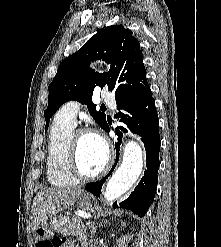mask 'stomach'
I'll return each instance as SVG.
<instances>
[{"instance_id": "obj_1", "label": "stomach", "mask_w": 221, "mask_h": 247, "mask_svg": "<svg viewBox=\"0 0 221 247\" xmlns=\"http://www.w3.org/2000/svg\"><path fill=\"white\" fill-rule=\"evenodd\" d=\"M78 204L81 208L85 210H90L92 208L91 199L86 194H81L78 197ZM54 230H55V226L49 220H46L43 223L39 224L34 229V235L37 242L50 239L54 234Z\"/></svg>"}]
</instances>
